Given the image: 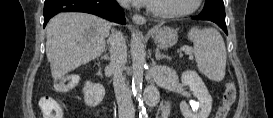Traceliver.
I'll list each match as a JSON object with an SVG mask.
<instances>
[{
    "label": "liver",
    "mask_w": 273,
    "mask_h": 118,
    "mask_svg": "<svg viewBox=\"0 0 273 118\" xmlns=\"http://www.w3.org/2000/svg\"><path fill=\"white\" fill-rule=\"evenodd\" d=\"M112 24L97 16L67 12L54 16L46 26V55L53 78L99 57Z\"/></svg>",
    "instance_id": "liver-1"
}]
</instances>
